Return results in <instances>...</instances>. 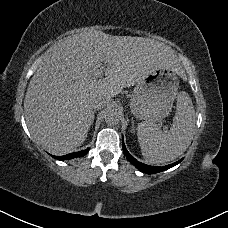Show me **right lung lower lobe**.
<instances>
[{"mask_svg": "<svg viewBox=\"0 0 228 228\" xmlns=\"http://www.w3.org/2000/svg\"><path fill=\"white\" fill-rule=\"evenodd\" d=\"M89 149L86 150H82V151H78V152H73L70 154H66L63 156H53L55 159L57 160H69V159H73V158H77V157H83L84 155H86L88 153Z\"/></svg>", "mask_w": 228, "mask_h": 228, "instance_id": "98d812e1", "label": "right lung lower lobe"}]
</instances>
